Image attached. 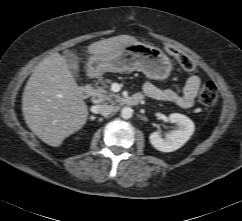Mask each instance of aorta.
Wrapping results in <instances>:
<instances>
[{
  "label": "aorta",
  "mask_w": 242,
  "mask_h": 221,
  "mask_svg": "<svg viewBox=\"0 0 242 221\" xmlns=\"http://www.w3.org/2000/svg\"><path fill=\"white\" fill-rule=\"evenodd\" d=\"M133 115V110L130 107H123L121 110V117L124 119H130Z\"/></svg>",
  "instance_id": "obj_1"
}]
</instances>
